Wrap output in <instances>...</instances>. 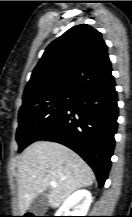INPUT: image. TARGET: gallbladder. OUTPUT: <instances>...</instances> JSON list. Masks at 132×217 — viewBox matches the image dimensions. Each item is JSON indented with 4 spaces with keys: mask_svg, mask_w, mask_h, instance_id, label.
Listing matches in <instances>:
<instances>
[{
    "mask_svg": "<svg viewBox=\"0 0 132 217\" xmlns=\"http://www.w3.org/2000/svg\"><path fill=\"white\" fill-rule=\"evenodd\" d=\"M49 205L48 191L39 194L30 204L29 212L35 216H43Z\"/></svg>",
    "mask_w": 132,
    "mask_h": 217,
    "instance_id": "obj_1",
    "label": "gallbladder"
}]
</instances>
